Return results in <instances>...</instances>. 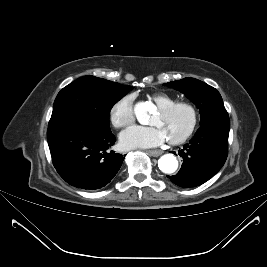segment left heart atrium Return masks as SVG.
Here are the masks:
<instances>
[{
    "instance_id": "obj_1",
    "label": "left heart atrium",
    "mask_w": 267,
    "mask_h": 267,
    "mask_svg": "<svg viewBox=\"0 0 267 267\" xmlns=\"http://www.w3.org/2000/svg\"><path fill=\"white\" fill-rule=\"evenodd\" d=\"M166 139V134L158 126H133L120 135L121 145L128 149L156 147Z\"/></svg>"
}]
</instances>
